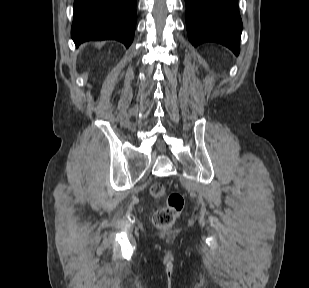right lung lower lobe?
<instances>
[{"instance_id": "right-lung-lower-lobe-1", "label": "right lung lower lobe", "mask_w": 309, "mask_h": 288, "mask_svg": "<svg viewBox=\"0 0 309 288\" xmlns=\"http://www.w3.org/2000/svg\"><path fill=\"white\" fill-rule=\"evenodd\" d=\"M136 0H74L71 36L76 46L89 40H118L131 45Z\"/></svg>"}]
</instances>
